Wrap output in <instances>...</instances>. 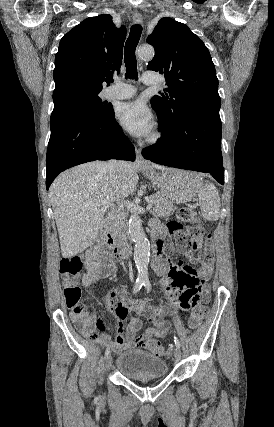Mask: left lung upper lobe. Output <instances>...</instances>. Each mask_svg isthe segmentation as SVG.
Masks as SVG:
<instances>
[{"instance_id": "left-lung-upper-lobe-1", "label": "left lung upper lobe", "mask_w": 274, "mask_h": 427, "mask_svg": "<svg viewBox=\"0 0 274 427\" xmlns=\"http://www.w3.org/2000/svg\"><path fill=\"white\" fill-rule=\"evenodd\" d=\"M147 42L155 56L147 69L165 75L167 88L151 99V105L169 130L191 112L219 115L221 99L210 53L197 35L172 18H162Z\"/></svg>"}]
</instances>
